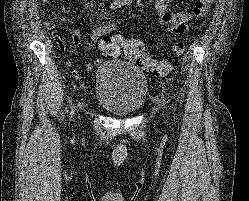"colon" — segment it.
<instances>
[{"label": "colon", "instance_id": "colon-1", "mask_svg": "<svg viewBox=\"0 0 249 201\" xmlns=\"http://www.w3.org/2000/svg\"><path fill=\"white\" fill-rule=\"evenodd\" d=\"M99 48L104 56L116 57L122 51L126 58L136 63L151 75H167L171 66L168 61L151 58L145 51L144 44L139 39L122 38L120 36H104L99 40ZM185 51L183 42H176L172 46V54L176 57L182 56Z\"/></svg>", "mask_w": 249, "mask_h": 201}]
</instances>
